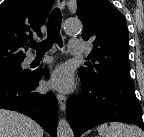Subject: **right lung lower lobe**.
<instances>
[{"instance_id":"obj_1","label":"right lung lower lobe","mask_w":144,"mask_h":137,"mask_svg":"<svg viewBox=\"0 0 144 137\" xmlns=\"http://www.w3.org/2000/svg\"><path fill=\"white\" fill-rule=\"evenodd\" d=\"M45 71L38 69L20 78L0 79V109L18 111L31 117L55 137L58 121L57 99L52 92L42 94L35 90Z\"/></svg>"}]
</instances>
